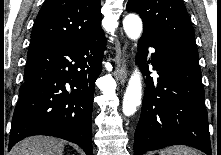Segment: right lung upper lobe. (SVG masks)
I'll use <instances>...</instances> for the list:
<instances>
[{
    "instance_id": "obj_1",
    "label": "right lung upper lobe",
    "mask_w": 221,
    "mask_h": 155,
    "mask_svg": "<svg viewBox=\"0 0 221 155\" xmlns=\"http://www.w3.org/2000/svg\"><path fill=\"white\" fill-rule=\"evenodd\" d=\"M100 0H46L31 33L30 45L77 41L103 32Z\"/></svg>"
}]
</instances>
